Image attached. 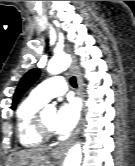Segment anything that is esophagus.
<instances>
[{"instance_id": "esophagus-1", "label": "esophagus", "mask_w": 135, "mask_h": 166, "mask_svg": "<svg viewBox=\"0 0 135 166\" xmlns=\"http://www.w3.org/2000/svg\"><path fill=\"white\" fill-rule=\"evenodd\" d=\"M68 50V48H67ZM70 70L74 73V75L77 78V83H78V95L80 96L81 100H82V111H81V117L78 123L77 128L75 129V131L73 132V134L71 135V137L64 143L60 144L57 148H55L53 151L55 153H60L62 151H64L66 148H68L71 143L73 142V140L76 138V136L78 135L82 124H83V113H84V109H85V96H84V92H83V81L81 79V76L79 74V72L77 71V69L74 67V65L72 64L70 66Z\"/></svg>"}]
</instances>
